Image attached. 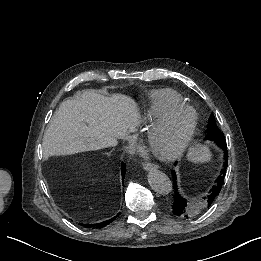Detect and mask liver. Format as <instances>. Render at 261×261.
I'll return each instance as SVG.
<instances>
[{
  "label": "liver",
  "mask_w": 261,
  "mask_h": 261,
  "mask_svg": "<svg viewBox=\"0 0 261 261\" xmlns=\"http://www.w3.org/2000/svg\"><path fill=\"white\" fill-rule=\"evenodd\" d=\"M137 123V109L130 99H110L87 90L60 104L46 130L44 151L73 155L115 147L117 139H125Z\"/></svg>",
  "instance_id": "obj_1"
}]
</instances>
